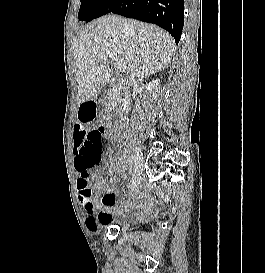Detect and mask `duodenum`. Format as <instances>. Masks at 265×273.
I'll use <instances>...</instances> for the list:
<instances>
[{
    "instance_id": "duodenum-1",
    "label": "duodenum",
    "mask_w": 265,
    "mask_h": 273,
    "mask_svg": "<svg viewBox=\"0 0 265 273\" xmlns=\"http://www.w3.org/2000/svg\"><path fill=\"white\" fill-rule=\"evenodd\" d=\"M112 91V97H111V100L112 101H117L118 100V96L116 95V94H114L115 93V89H112L111 90ZM102 99H103V97H102Z\"/></svg>"
}]
</instances>
